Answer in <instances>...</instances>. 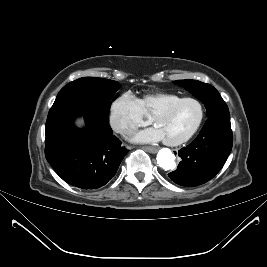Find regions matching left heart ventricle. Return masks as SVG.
Returning a JSON list of instances; mask_svg holds the SVG:
<instances>
[{
	"label": "left heart ventricle",
	"instance_id": "b2bd125f",
	"mask_svg": "<svg viewBox=\"0 0 267 267\" xmlns=\"http://www.w3.org/2000/svg\"><path fill=\"white\" fill-rule=\"evenodd\" d=\"M198 116L197 104L188 101L178 105L171 112L158 117L155 126L161 132L163 139L175 140L192 129Z\"/></svg>",
	"mask_w": 267,
	"mask_h": 267
}]
</instances>
